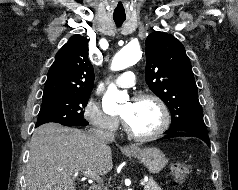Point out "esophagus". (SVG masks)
<instances>
[{
    "mask_svg": "<svg viewBox=\"0 0 238 190\" xmlns=\"http://www.w3.org/2000/svg\"><path fill=\"white\" fill-rule=\"evenodd\" d=\"M132 149H134V147H133L132 145H127V146L125 147V150H132Z\"/></svg>",
    "mask_w": 238,
    "mask_h": 190,
    "instance_id": "esophagus-1",
    "label": "esophagus"
}]
</instances>
